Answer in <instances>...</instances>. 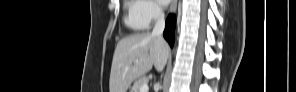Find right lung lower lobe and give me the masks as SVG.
Instances as JSON below:
<instances>
[{
  "instance_id": "98d812e1",
  "label": "right lung lower lobe",
  "mask_w": 296,
  "mask_h": 92,
  "mask_svg": "<svg viewBox=\"0 0 296 92\" xmlns=\"http://www.w3.org/2000/svg\"><path fill=\"white\" fill-rule=\"evenodd\" d=\"M174 29H175V16L169 15L166 20V27L164 30V38L168 41L170 46L174 44Z\"/></svg>"
}]
</instances>
